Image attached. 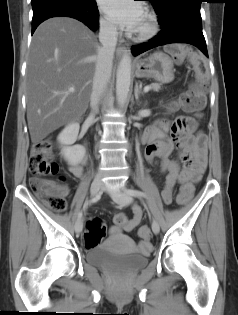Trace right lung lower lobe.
Returning a JSON list of instances; mask_svg holds the SVG:
<instances>
[{
	"label": "right lung lower lobe",
	"mask_w": 238,
	"mask_h": 315,
	"mask_svg": "<svg viewBox=\"0 0 238 315\" xmlns=\"http://www.w3.org/2000/svg\"><path fill=\"white\" fill-rule=\"evenodd\" d=\"M31 3L32 34L43 21L59 16L78 19L92 30L98 28L99 12L95 1L85 4L76 0H31Z\"/></svg>",
	"instance_id": "right-lung-lower-lobe-1"
}]
</instances>
